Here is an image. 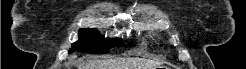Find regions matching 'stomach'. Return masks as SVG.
Segmentation results:
<instances>
[{"label": "stomach", "instance_id": "obj_1", "mask_svg": "<svg viewBox=\"0 0 246 69\" xmlns=\"http://www.w3.org/2000/svg\"><path fill=\"white\" fill-rule=\"evenodd\" d=\"M153 69H169V68H167L165 66H157V67H154Z\"/></svg>", "mask_w": 246, "mask_h": 69}]
</instances>
